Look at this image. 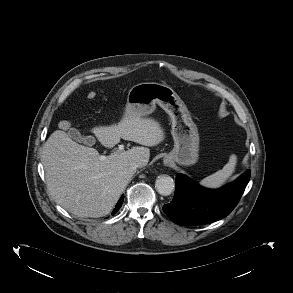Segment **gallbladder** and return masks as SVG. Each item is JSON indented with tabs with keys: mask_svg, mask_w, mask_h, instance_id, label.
Here are the masks:
<instances>
[{
	"mask_svg": "<svg viewBox=\"0 0 293 293\" xmlns=\"http://www.w3.org/2000/svg\"><path fill=\"white\" fill-rule=\"evenodd\" d=\"M68 134L75 141L82 142L87 145H91L95 140L92 136H82L77 129H70Z\"/></svg>",
	"mask_w": 293,
	"mask_h": 293,
	"instance_id": "bac80fb5",
	"label": "gallbladder"
}]
</instances>
